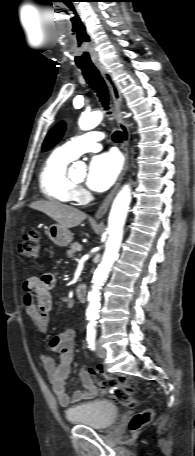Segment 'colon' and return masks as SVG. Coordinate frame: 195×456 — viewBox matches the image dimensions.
Here are the masks:
<instances>
[{
    "label": "colon",
    "mask_w": 195,
    "mask_h": 456,
    "mask_svg": "<svg viewBox=\"0 0 195 456\" xmlns=\"http://www.w3.org/2000/svg\"><path fill=\"white\" fill-rule=\"evenodd\" d=\"M20 252L23 256L29 259H37L41 254V236L38 232L29 231L23 236L22 242L19 245ZM93 380L107 389L112 399L127 408L136 406L134 390L132 383L124 378H114L109 373L99 368H90L88 371ZM153 418V411L145 409L135 414L130 420L129 427L132 431L138 430L148 423Z\"/></svg>",
    "instance_id": "obj_1"
}]
</instances>
